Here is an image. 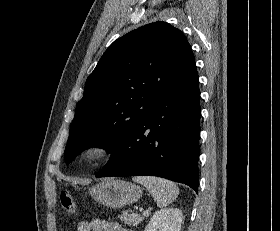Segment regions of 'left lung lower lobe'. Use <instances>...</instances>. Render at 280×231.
Here are the masks:
<instances>
[{"label":"left lung lower lobe","mask_w":280,"mask_h":231,"mask_svg":"<svg viewBox=\"0 0 280 231\" xmlns=\"http://www.w3.org/2000/svg\"><path fill=\"white\" fill-rule=\"evenodd\" d=\"M200 113L196 70L156 101L96 177L158 176L198 193Z\"/></svg>","instance_id":"obj_1"}]
</instances>
